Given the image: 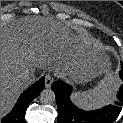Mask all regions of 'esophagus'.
Returning a JSON list of instances; mask_svg holds the SVG:
<instances>
[{
    "instance_id": "1",
    "label": "esophagus",
    "mask_w": 123,
    "mask_h": 123,
    "mask_svg": "<svg viewBox=\"0 0 123 123\" xmlns=\"http://www.w3.org/2000/svg\"><path fill=\"white\" fill-rule=\"evenodd\" d=\"M53 81H54V79H53V76L51 74H46L45 75V86L47 88L51 87Z\"/></svg>"
}]
</instances>
